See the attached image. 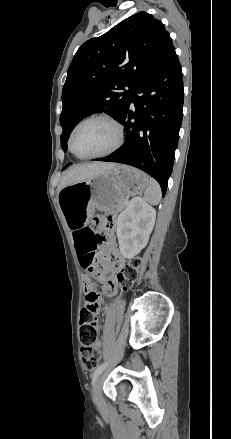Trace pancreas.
Returning <instances> with one entry per match:
<instances>
[{"mask_svg":"<svg viewBox=\"0 0 231 439\" xmlns=\"http://www.w3.org/2000/svg\"><path fill=\"white\" fill-rule=\"evenodd\" d=\"M126 203H127V201L125 200V201L121 204L120 209L124 208V206L126 205Z\"/></svg>","mask_w":231,"mask_h":439,"instance_id":"1","label":"pancreas"}]
</instances>
